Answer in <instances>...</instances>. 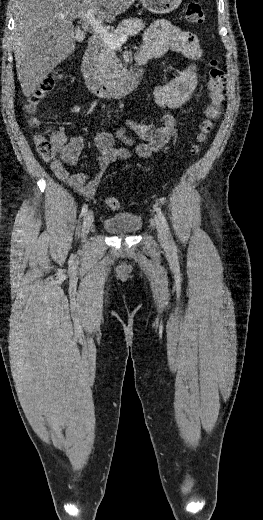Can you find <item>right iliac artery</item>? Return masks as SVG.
<instances>
[{
    "mask_svg": "<svg viewBox=\"0 0 263 520\" xmlns=\"http://www.w3.org/2000/svg\"><path fill=\"white\" fill-rule=\"evenodd\" d=\"M87 209H88V206L86 204H84L82 207L81 216H84L86 214Z\"/></svg>",
    "mask_w": 263,
    "mask_h": 520,
    "instance_id": "82829eb1",
    "label": "right iliac artery"
}]
</instances>
